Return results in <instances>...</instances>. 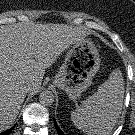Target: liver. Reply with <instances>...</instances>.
<instances>
[{"instance_id": "obj_1", "label": "liver", "mask_w": 135, "mask_h": 135, "mask_svg": "<svg viewBox=\"0 0 135 135\" xmlns=\"http://www.w3.org/2000/svg\"><path fill=\"white\" fill-rule=\"evenodd\" d=\"M84 36L63 24L0 26V132L15 122L25 88L38 92L45 69Z\"/></svg>"}]
</instances>
